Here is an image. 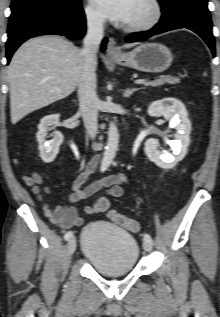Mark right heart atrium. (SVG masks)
Wrapping results in <instances>:
<instances>
[{
	"instance_id": "obj_1",
	"label": "right heart atrium",
	"mask_w": 220,
	"mask_h": 317,
	"mask_svg": "<svg viewBox=\"0 0 220 317\" xmlns=\"http://www.w3.org/2000/svg\"><path fill=\"white\" fill-rule=\"evenodd\" d=\"M84 13L88 24L95 28H100L104 25L105 21L102 15L90 4L84 8Z\"/></svg>"
}]
</instances>
